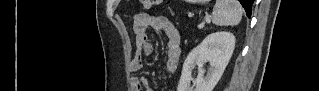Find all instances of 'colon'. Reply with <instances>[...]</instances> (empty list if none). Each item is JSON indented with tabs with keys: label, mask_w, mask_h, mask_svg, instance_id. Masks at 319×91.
Wrapping results in <instances>:
<instances>
[{
	"label": "colon",
	"mask_w": 319,
	"mask_h": 91,
	"mask_svg": "<svg viewBox=\"0 0 319 91\" xmlns=\"http://www.w3.org/2000/svg\"><path fill=\"white\" fill-rule=\"evenodd\" d=\"M163 1L161 0H145L144 1V5L147 7V8H150L152 6H156V5H159L161 4Z\"/></svg>",
	"instance_id": "5ec220e1"
}]
</instances>
